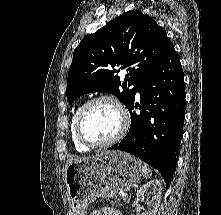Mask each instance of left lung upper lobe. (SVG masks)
Segmentation results:
<instances>
[{"mask_svg": "<svg viewBox=\"0 0 221 215\" xmlns=\"http://www.w3.org/2000/svg\"><path fill=\"white\" fill-rule=\"evenodd\" d=\"M172 43L149 16L129 11L82 39L68 72L67 101L91 92L115 95L129 108L142 80ZM126 69L121 82L118 73ZM134 85L133 88L128 86Z\"/></svg>", "mask_w": 221, "mask_h": 215, "instance_id": "obj_1", "label": "left lung upper lobe"}]
</instances>
